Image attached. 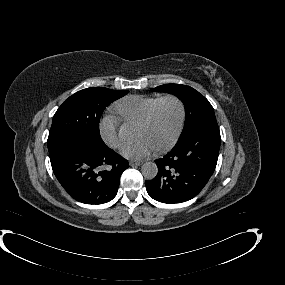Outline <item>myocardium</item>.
Here are the masks:
<instances>
[{
  "instance_id": "myocardium-1",
  "label": "myocardium",
  "mask_w": 285,
  "mask_h": 285,
  "mask_svg": "<svg viewBox=\"0 0 285 285\" xmlns=\"http://www.w3.org/2000/svg\"><path fill=\"white\" fill-rule=\"evenodd\" d=\"M168 101H174L179 105V118L176 128L171 134V136L165 142L156 145V148L158 150H165L169 148L178 139L179 135L181 134L185 120V105L183 101L175 95H167L162 97L157 102L151 115L143 123L139 125L140 129L149 128L157 120L161 106Z\"/></svg>"
}]
</instances>
